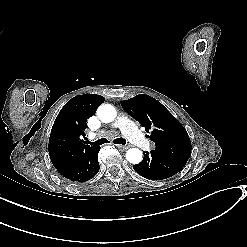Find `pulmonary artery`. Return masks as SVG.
I'll list each match as a JSON object with an SVG mask.
<instances>
[{"instance_id": "obj_1", "label": "pulmonary artery", "mask_w": 247, "mask_h": 247, "mask_svg": "<svg viewBox=\"0 0 247 247\" xmlns=\"http://www.w3.org/2000/svg\"><path fill=\"white\" fill-rule=\"evenodd\" d=\"M112 127L118 128L123 136L133 145L140 146L143 149L156 148L154 142L145 139L144 132L139 127V124L130 119V117L123 112L118 113Z\"/></svg>"}]
</instances>
